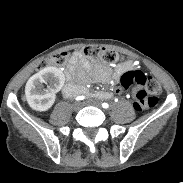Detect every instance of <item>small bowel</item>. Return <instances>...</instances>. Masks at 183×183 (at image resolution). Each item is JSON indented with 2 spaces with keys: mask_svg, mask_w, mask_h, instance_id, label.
<instances>
[{
  "mask_svg": "<svg viewBox=\"0 0 183 183\" xmlns=\"http://www.w3.org/2000/svg\"><path fill=\"white\" fill-rule=\"evenodd\" d=\"M79 64L81 65L83 69V80L84 82H87L89 80V76L93 78H101V79H109L110 77H119L123 73L127 71H139L135 68L134 64L132 62H128L124 66L119 67L114 73L109 68H103L100 66H96L93 68H90L86 62L83 60H79ZM141 72V71H139ZM80 88V92H85L82 87ZM111 92H104V91H98L93 93V96L99 99H107L112 97Z\"/></svg>",
  "mask_w": 183,
  "mask_h": 183,
  "instance_id": "obj_1",
  "label": "small bowel"
}]
</instances>
